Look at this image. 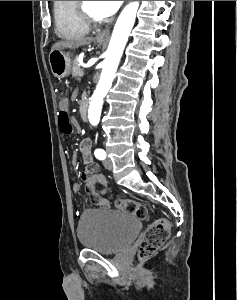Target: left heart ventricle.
<instances>
[{
    "label": "left heart ventricle",
    "mask_w": 237,
    "mask_h": 300,
    "mask_svg": "<svg viewBox=\"0 0 237 300\" xmlns=\"http://www.w3.org/2000/svg\"><path fill=\"white\" fill-rule=\"evenodd\" d=\"M84 4L92 15L99 18L107 17L101 9L100 1H84Z\"/></svg>",
    "instance_id": "b2bd125f"
}]
</instances>
